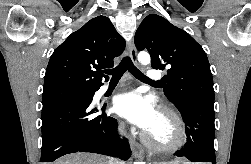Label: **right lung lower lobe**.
I'll use <instances>...</instances> for the list:
<instances>
[{
  "label": "right lung lower lobe",
  "mask_w": 251,
  "mask_h": 164,
  "mask_svg": "<svg viewBox=\"0 0 251 164\" xmlns=\"http://www.w3.org/2000/svg\"><path fill=\"white\" fill-rule=\"evenodd\" d=\"M98 89H96L97 91ZM92 99L58 100L43 104L41 162H53L74 152H91L127 160L128 140L118 139L117 122L102 108L91 107ZM103 113L95 115L98 109Z\"/></svg>",
  "instance_id": "obj_1"
}]
</instances>
